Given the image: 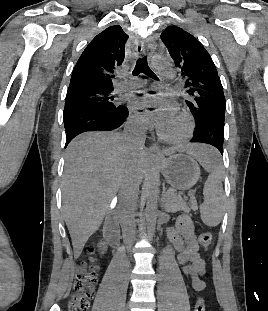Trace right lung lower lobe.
Segmentation results:
<instances>
[{"label": "right lung lower lobe", "instance_id": "right-lung-lower-lobe-1", "mask_svg": "<svg viewBox=\"0 0 268 311\" xmlns=\"http://www.w3.org/2000/svg\"><path fill=\"white\" fill-rule=\"evenodd\" d=\"M128 109L120 105L114 112L105 113L86 108H76L63 117L66 144L77 135L87 131H111L118 129L126 121Z\"/></svg>", "mask_w": 268, "mask_h": 311}]
</instances>
